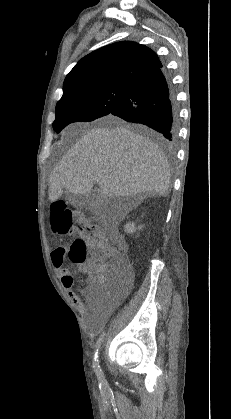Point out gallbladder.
Returning <instances> with one entry per match:
<instances>
[{
  "label": "gallbladder",
  "instance_id": "obj_1",
  "mask_svg": "<svg viewBox=\"0 0 231 419\" xmlns=\"http://www.w3.org/2000/svg\"><path fill=\"white\" fill-rule=\"evenodd\" d=\"M97 191H94L89 194V196L75 195L72 193L66 194V199L69 200L71 204L77 207L85 206L86 201L94 202L96 200Z\"/></svg>",
  "mask_w": 231,
  "mask_h": 419
}]
</instances>
